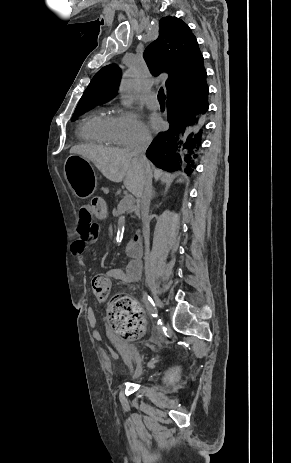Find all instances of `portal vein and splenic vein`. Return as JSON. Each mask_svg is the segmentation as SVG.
I'll return each instance as SVG.
<instances>
[{"mask_svg":"<svg viewBox=\"0 0 291 463\" xmlns=\"http://www.w3.org/2000/svg\"><path fill=\"white\" fill-rule=\"evenodd\" d=\"M134 204V198L132 195H125L124 198L119 202L118 208L122 211H126L132 208Z\"/></svg>","mask_w":291,"mask_h":463,"instance_id":"18ae733b","label":"portal vein and splenic vein"}]
</instances>
